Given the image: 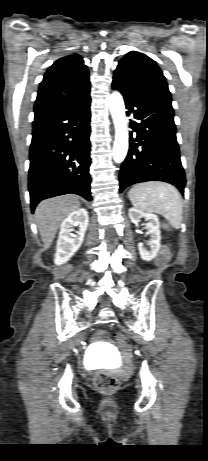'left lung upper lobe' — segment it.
<instances>
[{
	"mask_svg": "<svg viewBox=\"0 0 208 461\" xmlns=\"http://www.w3.org/2000/svg\"><path fill=\"white\" fill-rule=\"evenodd\" d=\"M114 77L134 90L171 99L162 71L155 61L143 53L131 51L126 54L119 61Z\"/></svg>",
	"mask_w": 208,
	"mask_h": 461,
	"instance_id": "left-lung-upper-lobe-1",
	"label": "left lung upper lobe"
}]
</instances>
